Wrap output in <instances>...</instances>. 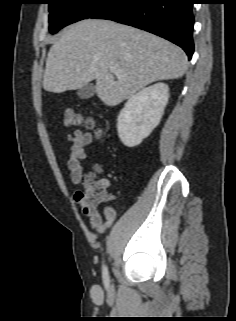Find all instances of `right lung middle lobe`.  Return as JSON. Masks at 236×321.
<instances>
[{
  "label": "right lung middle lobe",
  "instance_id": "obj_1",
  "mask_svg": "<svg viewBox=\"0 0 236 321\" xmlns=\"http://www.w3.org/2000/svg\"><path fill=\"white\" fill-rule=\"evenodd\" d=\"M111 0H47L49 4V30L52 34L62 27L89 18Z\"/></svg>",
  "mask_w": 236,
  "mask_h": 321
}]
</instances>
